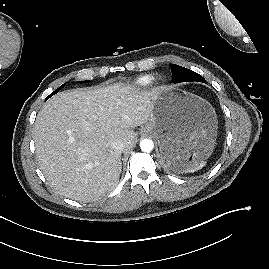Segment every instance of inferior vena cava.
<instances>
[{
    "instance_id": "obj_1",
    "label": "inferior vena cava",
    "mask_w": 269,
    "mask_h": 269,
    "mask_svg": "<svg viewBox=\"0 0 269 269\" xmlns=\"http://www.w3.org/2000/svg\"><path fill=\"white\" fill-rule=\"evenodd\" d=\"M112 148L116 151H123L124 143L121 140H116L111 144Z\"/></svg>"
}]
</instances>
